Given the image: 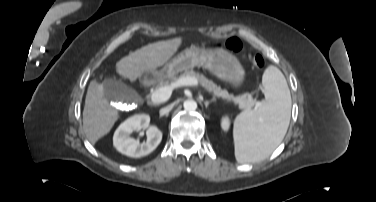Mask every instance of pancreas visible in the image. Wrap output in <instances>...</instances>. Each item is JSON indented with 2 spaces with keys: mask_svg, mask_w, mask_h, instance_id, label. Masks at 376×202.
I'll return each instance as SVG.
<instances>
[{
  "mask_svg": "<svg viewBox=\"0 0 376 202\" xmlns=\"http://www.w3.org/2000/svg\"><path fill=\"white\" fill-rule=\"evenodd\" d=\"M184 77H192L195 78L198 83L204 87L208 92L212 93L216 97H220L226 101L233 102L234 104H237L240 109L242 110H250L252 109L256 104L257 101L254 100L251 96H247L246 94H243L241 96L235 97L232 94H229L227 90L221 89L219 86L215 85V83L211 80H208L204 75H200L193 70H188L181 74L179 77L172 78V79H164L160 77L156 85L153 89H151V93H153L155 90L170 86L176 83L179 79Z\"/></svg>",
  "mask_w": 376,
  "mask_h": 202,
  "instance_id": "pancreas-1",
  "label": "pancreas"
}]
</instances>
